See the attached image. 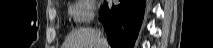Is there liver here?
I'll return each mask as SVG.
<instances>
[{
	"mask_svg": "<svg viewBox=\"0 0 213 48\" xmlns=\"http://www.w3.org/2000/svg\"><path fill=\"white\" fill-rule=\"evenodd\" d=\"M63 48H110L99 32L92 28H80L71 32Z\"/></svg>",
	"mask_w": 213,
	"mask_h": 48,
	"instance_id": "liver-1",
	"label": "liver"
}]
</instances>
